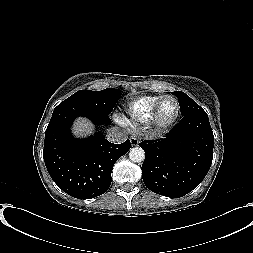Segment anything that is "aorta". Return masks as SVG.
<instances>
[{
	"mask_svg": "<svg viewBox=\"0 0 253 253\" xmlns=\"http://www.w3.org/2000/svg\"><path fill=\"white\" fill-rule=\"evenodd\" d=\"M129 158L133 162H142L145 159V152L141 147L131 148Z\"/></svg>",
	"mask_w": 253,
	"mask_h": 253,
	"instance_id": "aorta-1",
	"label": "aorta"
}]
</instances>
